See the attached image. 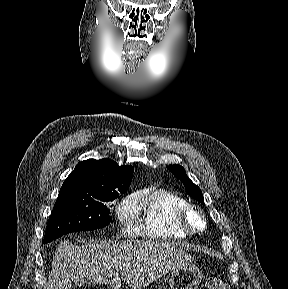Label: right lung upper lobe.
<instances>
[{
  "label": "right lung upper lobe",
  "mask_w": 288,
  "mask_h": 289,
  "mask_svg": "<svg viewBox=\"0 0 288 289\" xmlns=\"http://www.w3.org/2000/svg\"><path fill=\"white\" fill-rule=\"evenodd\" d=\"M132 177V166H119L110 159H88L77 164L64 181L60 193L93 194L108 190L126 191Z\"/></svg>",
  "instance_id": "obj_1"
}]
</instances>
